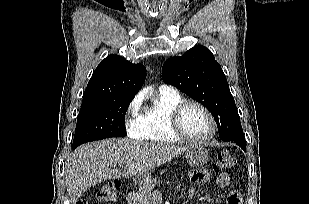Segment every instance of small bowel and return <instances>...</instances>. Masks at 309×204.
<instances>
[{
	"label": "small bowel",
	"instance_id": "1",
	"mask_svg": "<svg viewBox=\"0 0 309 204\" xmlns=\"http://www.w3.org/2000/svg\"><path fill=\"white\" fill-rule=\"evenodd\" d=\"M209 177H210V173L204 169L193 171L190 175L191 180L197 183L206 182L209 180ZM230 181H231V174L229 172H223L219 174L217 177V184L221 188L228 186ZM231 197H238L241 200V195L238 192L233 191L229 194L228 204H236V203L229 202V199Z\"/></svg>",
	"mask_w": 309,
	"mask_h": 204
}]
</instances>
